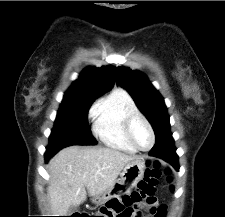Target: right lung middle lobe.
I'll use <instances>...</instances> for the list:
<instances>
[{
    "label": "right lung middle lobe",
    "mask_w": 225,
    "mask_h": 217,
    "mask_svg": "<svg viewBox=\"0 0 225 217\" xmlns=\"http://www.w3.org/2000/svg\"><path fill=\"white\" fill-rule=\"evenodd\" d=\"M98 97H64L54 128L49 137V146L62 149L70 145H95L87 115L93 101Z\"/></svg>",
    "instance_id": "dd1d6c3e"
}]
</instances>
